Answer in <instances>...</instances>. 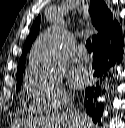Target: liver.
Segmentation results:
<instances>
[{"instance_id":"obj_1","label":"liver","mask_w":125,"mask_h":128,"mask_svg":"<svg viewBox=\"0 0 125 128\" xmlns=\"http://www.w3.org/2000/svg\"><path fill=\"white\" fill-rule=\"evenodd\" d=\"M78 115V117L80 118V127L79 128H90L91 126V121L90 119L84 115L83 113H76ZM45 124V122L43 123ZM47 126L51 127V126H56V127H67L70 126L71 124V119L68 115L64 114L61 116H56L52 119H49L46 122Z\"/></svg>"}]
</instances>
